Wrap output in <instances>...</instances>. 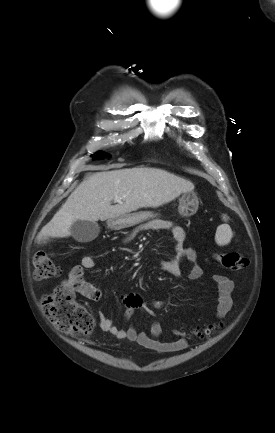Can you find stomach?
<instances>
[{"mask_svg": "<svg viewBox=\"0 0 275 433\" xmlns=\"http://www.w3.org/2000/svg\"><path fill=\"white\" fill-rule=\"evenodd\" d=\"M198 206L197 195L194 192H187L179 200L178 212L183 217H190L197 212ZM152 216L150 212L127 213L108 219L107 226L113 230H118L144 222Z\"/></svg>", "mask_w": 275, "mask_h": 433, "instance_id": "0dacf381", "label": "stomach"}]
</instances>
